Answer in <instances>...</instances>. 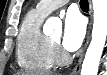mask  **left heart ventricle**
I'll list each match as a JSON object with an SVG mask.
<instances>
[{
	"instance_id": "left-heart-ventricle-1",
	"label": "left heart ventricle",
	"mask_w": 107,
	"mask_h": 75,
	"mask_svg": "<svg viewBox=\"0 0 107 75\" xmlns=\"http://www.w3.org/2000/svg\"><path fill=\"white\" fill-rule=\"evenodd\" d=\"M52 39H53L54 41L59 42V40H60V36H59V35L54 36V37H52Z\"/></svg>"
}]
</instances>
